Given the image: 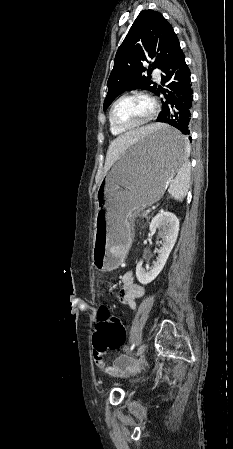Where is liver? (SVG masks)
I'll use <instances>...</instances> for the list:
<instances>
[{"mask_svg": "<svg viewBox=\"0 0 233 449\" xmlns=\"http://www.w3.org/2000/svg\"><path fill=\"white\" fill-rule=\"evenodd\" d=\"M161 124H150L126 133H120V136L113 140L108 148L105 162V171L121 157V155L135 142H141V138L157 129Z\"/></svg>", "mask_w": 233, "mask_h": 449, "instance_id": "1", "label": "liver"}]
</instances>
